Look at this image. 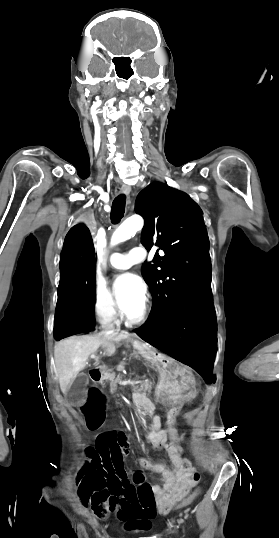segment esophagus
I'll return each mask as SVG.
<instances>
[{"mask_svg":"<svg viewBox=\"0 0 279 538\" xmlns=\"http://www.w3.org/2000/svg\"><path fill=\"white\" fill-rule=\"evenodd\" d=\"M121 191L122 193H124V195L128 196L131 191V188L128 185H123Z\"/></svg>","mask_w":279,"mask_h":538,"instance_id":"1","label":"esophagus"}]
</instances>
